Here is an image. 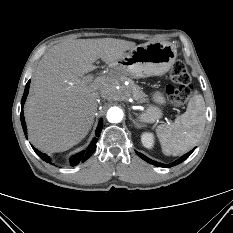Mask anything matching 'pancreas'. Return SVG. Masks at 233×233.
<instances>
[{"mask_svg": "<svg viewBox=\"0 0 233 233\" xmlns=\"http://www.w3.org/2000/svg\"><path fill=\"white\" fill-rule=\"evenodd\" d=\"M119 80L125 81L126 78L122 75L117 76ZM131 91H132V97L134 100H136L138 103H143L146 101V95L142 92V90L134 84V82L129 80V86H128Z\"/></svg>", "mask_w": 233, "mask_h": 233, "instance_id": "obj_1", "label": "pancreas"}]
</instances>
